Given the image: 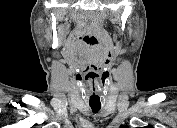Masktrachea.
<instances>
[{
	"instance_id": "trachea-1",
	"label": "trachea",
	"mask_w": 177,
	"mask_h": 128,
	"mask_svg": "<svg viewBox=\"0 0 177 128\" xmlns=\"http://www.w3.org/2000/svg\"><path fill=\"white\" fill-rule=\"evenodd\" d=\"M90 107L94 113H97L101 108L100 106H90Z\"/></svg>"
}]
</instances>
